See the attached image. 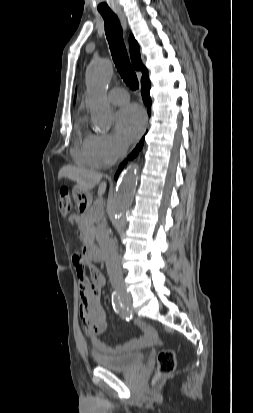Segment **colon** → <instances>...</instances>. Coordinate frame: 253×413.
<instances>
[{
	"mask_svg": "<svg viewBox=\"0 0 253 413\" xmlns=\"http://www.w3.org/2000/svg\"><path fill=\"white\" fill-rule=\"evenodd\" d=\"M60 211L67 215L72 210V201L68 190H62L59 198ZM176 357L175 352L171 349L162 350L157 357V371L154 377V383L159 379L169 376L175 370Z\"/></svg>",
	"mask_w": 253,
	"mask_h": 413,
	"instance_id": "5ec220e1",
	"label": "colon"
}]
</instances>
